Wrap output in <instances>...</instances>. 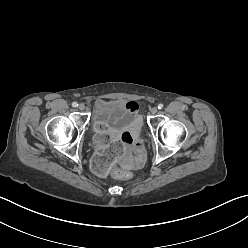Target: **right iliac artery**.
<instances>
[{"instance_id": "right-iliac-artery-1", "label": "right iliac artery", "mask_w": 248, "mask_h": 248, "mask_svg": "<svg viewBox=\"0 0 248 248\" xmlns=\"http://www.w3.org/2000/svg\"><path fill=\"white\" fill-rule=\"evenodd\" d=\"M72 106H73V107H77V106H78V103H77V102H73V103H72Z\"/></svg>"}]
</instances>
